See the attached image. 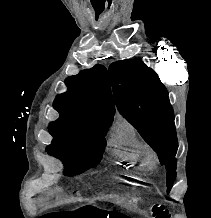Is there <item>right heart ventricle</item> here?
I'll list each match as a JSON object with an SVG mask.
<instances>
[{"label": "right heart ventricle", "mask_w": 211, "mask_h": 218, "mask_svg": "<svg viewBox=\"0 0 211 218\" xmlns=\"http://www.w3.org/2000/svg\"><path fill=\"white\" fill-rule=\"evenodd\" d=\"M114 139L125 144H111L112 152H117V157H124L120 165H127L128 169H147L150 160L147 158V146L140 140L136 128L130 120L118 117L113 130ZM136 151L138 154H136Z\"/></svg>", "instance_id": "e07e8e85"}]
</instances>
